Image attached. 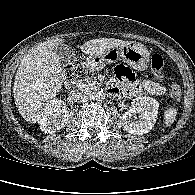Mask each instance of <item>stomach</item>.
<instances>
[{"instance_id":"0dacf381","label":"stomach","mask_w":195,"mask_h":195,"mask_svg":"<svg viewBox=\"0 0 195 195\" xmlns=\"http://www.w3.org/2000/svg\"><path fill=\"white\" fill-rule=\"evenodd\" d=\"M122 59L135 70H145L150 61V53L147 48L136 42H128L123 46L111 49L103 55L90 56L88 59L91 70H100L105 65Z\"/></svg>"}]
</instances>
